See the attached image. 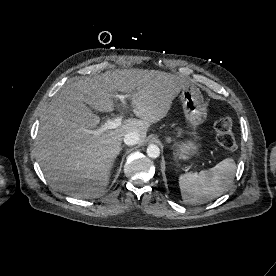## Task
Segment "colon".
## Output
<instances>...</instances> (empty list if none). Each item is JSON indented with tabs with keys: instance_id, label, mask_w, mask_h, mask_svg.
Listing matches in <instances>:
<instances>
[{
	"instance_id": "1",
	"label": "colon",
	"mask_w": 276,
	"mask_h": 276,
	"mask_svg": "<svg viewBox=\"0 0 276 276\" xmlns=\"http://www.w3.org/2000/svg\"><path fill=\"white\" fill-rule=\"evenodd\" d=\"M215 130L219 144L227 150L233 151L238 147L232 132V121L228 117H221L215 122Z\"/></svg>"
}]
</instances>
